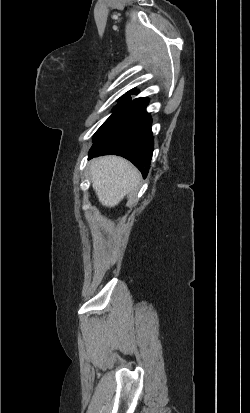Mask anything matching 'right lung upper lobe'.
I'll return each instance as SVG.
<instances>
[{
    "mask_svg": "<svg viewBox=\"0 0 250 413\" xmlns=\"http://www.w3.org/2000/svg\"><path fill=\"white\" fill-rule=\"evenodd\" d=\"M128 94H137L138 93V90H130L129 92H127Z\"/></svg>",
    "mask_w": 250,
    "mask_h": 413,
    "instance_id": "1",
    "label": "right lung upper lobe"
}]
</instances>
